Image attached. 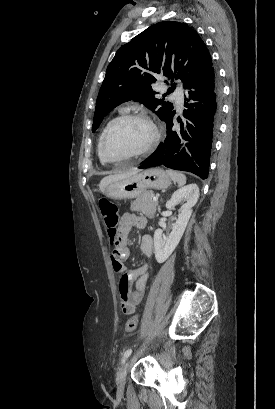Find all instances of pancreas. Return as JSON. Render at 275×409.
I'll return each mask as SVG.
<instances>
[{
    "label": "pancreas",
    "mask_w": 275,
    "mask_h": 409,
    "mask_svg": "<svg viewBox=\"0 0 275 409\" xmlns=\"http://www.w3.org/2000/svg\"><path fill=\"white\" fill-rule=\"evenodd\" d=\"M153 190H144L142 194L137 196L136 200L132 202L130 207L131 211H140L149 219H153L156 213V207L158 205L157 200H153Z\"/></svg>",
    "instance_id": "obj_1"
}]
</instances>
